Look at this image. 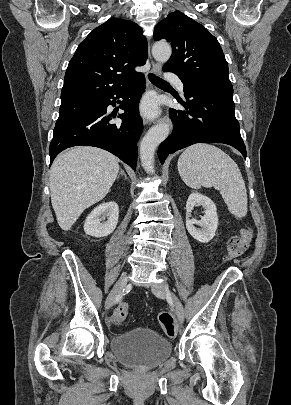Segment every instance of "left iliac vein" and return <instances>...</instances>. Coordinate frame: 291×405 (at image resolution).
I'll use <instances>...</instances> for the list:
<instances>
[{
	"label": "left iliac vein",
	"mask_w": 291,
	"mask_h": 405,
	"mask_svg": "<svg viewBox=\"0 0 291 405\" xmlns=\"http://www.w3.org/2000/svg\"><path fill=\"white\" fill-rule=\"evenodd\" d=\"M151 290L157 297L163 298L166 295H170L174 301L175 311L177 315V319L180 324L184 321V308L178 297L171 292V290L165 284L156 283L151 286Z\"/></svg>",
	"instance_id": "4c4485c4"
}]
</instances>
